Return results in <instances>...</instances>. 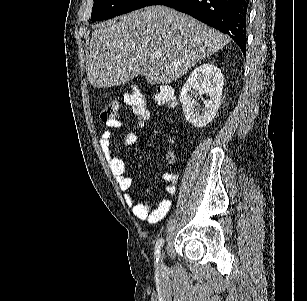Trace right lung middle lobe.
<instances>
[{"instance_id":"dd1d6c3e","label":"right lung middle lobe","mask_w":307,"mask_h":301,"mask_svg":"<svg viewBox=\"0 0 307 301\" xmlns=\"http://www.w3.org/2000/svg\"><path fill=\"white\" fill-rule=\"evenodd\" d=\"M150 0H94L91 19L93 22L113 18L145 7Z\"/></svg>"}]
</instances>
